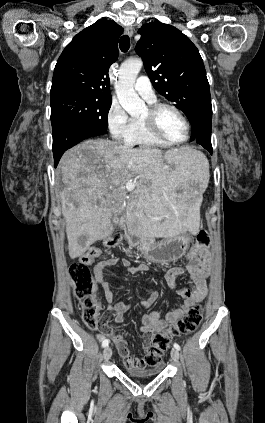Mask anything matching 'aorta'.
<instances>
[{
  "label": "aorta",
  "mask_w": 265,
  "mask_h": 423,
  "mask_svg": "<svg viewBox=\"0 0 265 423\" xmlns=\"http://www.w3.org/2000/svg\"><path fill=\"white\" fill-rule=\"evenodd\" d=\"M141 59H131L122 63L119 69V78L116 84V94L120 105L131 116H137L146 109L145 102L134 90V83L142 68Z\"/></svg>",
  "instance_id": "762f6f07"
}]
</instances>
